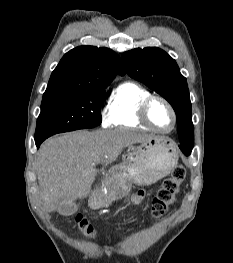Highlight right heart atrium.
Here are the masks:
<instances>
[{
  "instance_id": "d8ad5b80",
  "label": "right heart atrium",
  "mask_w": 233,
  "mask_h": 263,
  "mask_svg": "<svg viewBox=\"0 0 233 263\" xmlns=\"http://www.w3.org/2000/svg\"><path fill=\"white\" fill-rule=\"evenodd\" d=\"M101 124L103 127H107L109 125V116L106 112L102 113Z\"/></svg>"
}]
</instances>
